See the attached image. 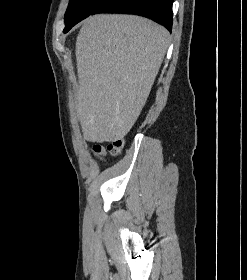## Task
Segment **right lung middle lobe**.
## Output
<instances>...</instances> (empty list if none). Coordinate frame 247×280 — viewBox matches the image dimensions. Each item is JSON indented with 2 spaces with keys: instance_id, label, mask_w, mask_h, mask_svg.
<instances>
[{
  "instance_id": "dd1d6c3e",
  "label": "right lung middle lobe",
  "mask_w": 247,
  "mask_h": 280,
  "mask_svg": "<svg viewBox=\"0 0 247 280\" xmlns=\"http://www.w3.org/2000/svg\"><path fill=\"white\" fill-rule=\"evenodd\" d=\"M106 0H70L65 13V29L92 15Z\"/></svg>"
}]
</instances>
